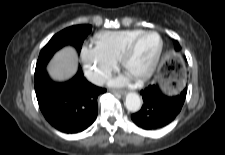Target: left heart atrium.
I'll return each mask as SVG.
<instances>
[{
	"instance_id": "obj_1",
	"label": "left heart atrium",
	"mask_w": 225,
	"mask_h": 155,
	"mask_svg": "<svg viewBox=\"0 0 225 155\" xmlns=\"http://www.w3.org/2000/svg\"><path fill=\"white\" fill-rule=\"evenodd\" d=\"M125 80H126L125 77L116 78L112 81V84L120 85V84H123L125 82Z\"/></svg>"
}]
</instances>
